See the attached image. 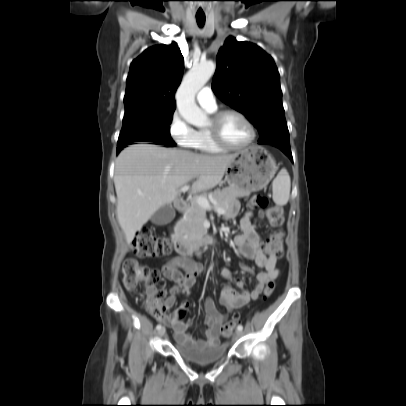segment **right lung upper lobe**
I'll list each match as a JSON object with an SVG mask.
<instances>
[{"label": "right lung upper lobe", "mask_w": 406, "mask_h": 406, "mask_svg": "<svg viewBox=\"0 0 406 406\" xmlns=\"http://www.w3.org/2000/svg\"><path fill=\"white\" fill-rule=\"evenodd\" d=\"M184 68L176 43L146 49L132 61L126 81L125 109H175L174 94Z\"/></svg>", "instance_id": "cb5924a9"}]
</instances>
